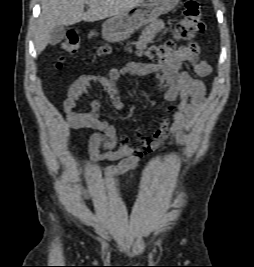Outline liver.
<instances>
[{
  "label": "liver",
  "instance_id": "obj_1",
  "mask_svg": "<svg viewBox=\"0 0 254 267\" xmlns=\"http://www.w3.org/2000/svg\"><path fill=\"white\" fill-rule=\"evenodd\" d=\"M144 0H41V14L34 34L35 50L40 54L48 45L57 26L80 21L94 22L122 14ZM88 5L87 12H84Z\"/></svg>",
  "mask_w": 254,
  "mask_h": 267
}]
</instances>
